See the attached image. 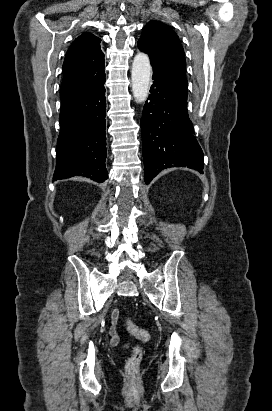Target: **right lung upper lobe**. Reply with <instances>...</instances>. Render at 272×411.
Returning a JSON list of instances; mask_svg holds the SVG:
<instances>
[{"mask_svg":"<svg viewBox=\"0 0 272 411\" xmlns=\"http://www.w3.org/2000/svg\"><path fill=\"white\" fill-rule=\"evenodd\" d=\"M105 78L100 39L85 32L69 47L63 63L60 99H66L98 85Z\"/></svg>","mask_w":272,"mask_h":411,"instance_id":"right-lung-upper-lobe-1","label":"right lung upper lobe"}]
</instances>
